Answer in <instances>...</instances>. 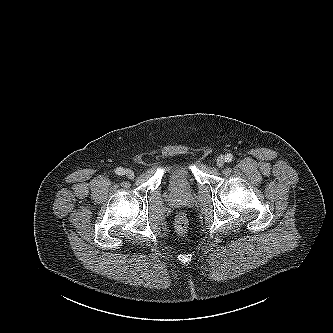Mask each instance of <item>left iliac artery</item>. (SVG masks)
Wrapping results in <instances>:
<instances>
[{
    "label": "left iliac artery",
    "instance_id": "1",
    "mask_svg": "<svg viewBox=\"0 0 333 333\" xmlns=\"http://www.w3.org/2000/svg\"><path fill=\"white\" fill-rule=\"evenodd\" d=\"M233 160V155L232 154H227L226 156H225V161L226 162H231Z\"/></svg>",
    "mask_w": 333,
    "mask_h": 333
}]
</instances>
